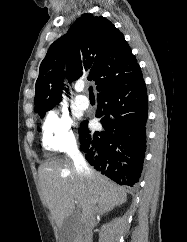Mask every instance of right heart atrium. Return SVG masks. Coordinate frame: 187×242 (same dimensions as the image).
Masks as SVG:
<instances>
[{
    "mask_svg": "<svg viewBox=\"0 0 187 242\" xmlns=\"http://www.w3.org/2000/svg\"><path fill=\"white\" fill-rule=\"evenodd\" d=\"M42 143L46 150L52 152L74 147L75 135L68 114L56 110L48 114L42 127Z\"/></svg>",
    "mask_w": 187,
    "mask_h": 242,
    "instance_id": "obj_1",
    "label": "right heart atrium"
}]
</instances>
